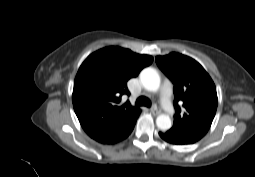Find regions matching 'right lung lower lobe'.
Masks as SVG:
<instances>
[{
  "mask_svg": "<svg viewBox=\"0 0 255 177\" xmlns=\"http://www.w3.org/2000/svg\"><path fill=\"white\" fill-rule=\"evenodd\" d=\"M140 113L141 111H138L125 117L103 133L93 137V139L102 144H115L122 141L132 132Z\"/></svg>",
  "mask_w": 255,
  "mask_h": 177,
  "instance_id": "obj_1",
  "label": "right lung lower lobe"
}]
</instances>
